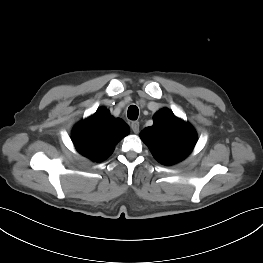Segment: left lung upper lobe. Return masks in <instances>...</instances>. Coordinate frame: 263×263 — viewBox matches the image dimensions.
<instances>
[{
  "mask_svg": "<svg viewBox=\"0 0 263 263\" xmlns=\"http://www.w3.org/2000/svg\"><path fill=\"white\" fill-rule=\"evenodd\" d=\"M140 137L155 159L164 165L182 161L193 150L197 141L194 128L167 108L154 115V124L143 129Z\"/></svg>",
  "mask_w": 263,
  "mask_h": 263,
  "instance_id": "left-lung-upper-lobe-1",
  "label": "left lung upper lobe"
}]
</instances>
